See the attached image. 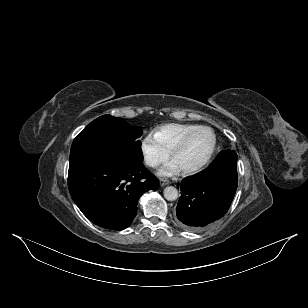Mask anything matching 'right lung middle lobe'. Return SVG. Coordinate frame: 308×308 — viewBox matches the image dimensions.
<instances>
[{
	"label": "right lung middle lobe",
	"instance_id": "obj_1",
	"mask_svg": "<svg viewBox=\"0 0 308 308\" xmlns=\"http://www.w3.org/2000/svg\"><path fill=\"white\" fill-rule=\"evenodd\" d=\"M141 135V128L122 118L110 115L98 117L74 139L69 164L85 160L142 163L141 142L138 140Z\"/></svg>",
	"mask_w": 308,
	"mask_h": 308
}]
</instances>
